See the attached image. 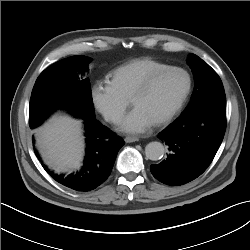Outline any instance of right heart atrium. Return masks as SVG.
Masks as SVG:
<instances>
[{
  "label": "right heart atrium",
  "mask_w": 250,
  "mask_h": 250,
  "mask_svg": "<svg viewBox=\"0 0 250 250\" xmlns=\"http://www.w3.org/2000/svg\"><path fill=\"white\" fill-rule=\"evenodd\" d=\"M90 97L94 108L112 124L121 121L130 104L129 98L121 94L107 79L98 80L92 85Z\"/></svg>",
  "instance_id": "obj_1"
}]
</instances>
